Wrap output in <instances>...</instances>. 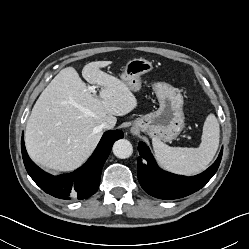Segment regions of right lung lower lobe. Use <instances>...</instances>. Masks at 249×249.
Masks as SVG:
<instances>
[{"label":"right lung lower lobe","instance_id":"right-lung-lower-lobe-1","mask_svg":"<svg viewBox=\"0 0 249 249\" xmlns=\"http://www.w3.org/2000/svg\"><path fill=\"white\" fill-rule=\"evenodd\" d=\"M124 136L120 130L107 131L88 161L73 173L52 176L40 169L28 156L24 140L21 150L24 165L30 177L46 193L60 199H85L99 187L102 167L110 154L113 143Z\"/></svg>","mask_w":249,"mask_h":249}]
</instances>
